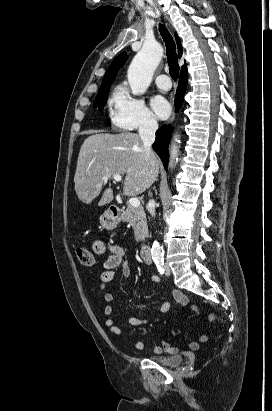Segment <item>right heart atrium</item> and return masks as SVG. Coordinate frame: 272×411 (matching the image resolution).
<instances>
[{"label": "right heart atrium", "mask_w": 272, "mask_h": 411, "mask_svg": "<svg viewBox=\"0 0 272 411\" xmlns=\"http://www.w3.org/2000/svg\"><path fill=\"white\" fill-rule=\"evenodd\" d=\"M109 119L120 130L153 129L157 121L144 101L134 96L125 84L115 87L109 100Z\"/></svg>", "instance_id": "1"}]
</instances>
